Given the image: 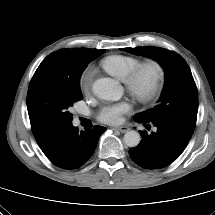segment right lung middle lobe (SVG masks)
I'll list each match as a JSON object with an SVG mask.
<instances>
[{
	"mask_svg": "<svg viewBox=\"0 0 215 215\" xmlns=\"http://www.w3.org/2000/svg\"><path fill=\"white\" fill-rule=\"evenodd\" d=\"M104 51L62 49L42 61L30 81L27 94V109L33 128L55 134L72 125L70 107L82 99L81 73Z\"/></svg>",
	"mask_w": 215,
	"mask_h": 215,
	"instance_id": "right-lung-middle-lobe-1",
	"label": "right lung middle lobe"
}]
</instances>
